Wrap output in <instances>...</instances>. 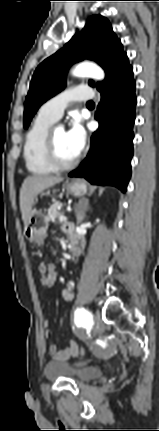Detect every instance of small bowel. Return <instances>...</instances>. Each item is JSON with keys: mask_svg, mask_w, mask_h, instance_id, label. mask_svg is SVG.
Here are the masks:
<instances>
[{"mask_svg": "<svg viewBox=\"0 0 159 431\" xmlns=\"http://www.w3.org/2000/svg\"><path fill=\"white\" fill-rule=\"evenodd\" d=\"M71 230L70 226L66 227V231L69 232ZM48 266L47 263L41 262L39 265V273H40V283L44 287H51V284H49V277L48 276ZM53 276L57 278L58 276V269L56 267V270L53 272ZM62 299L64 302H69L73 298V284L69 283L67 287H65L62 292ZM42 326L45 330V335H49L48 327H49V321L47 319H44L42 321ZM48 353L55 361H65L68 360L71 357L77 356L79 352V346L75 341H70L68 346L62 350H58L57 347L54 344H51L47 348Z\"/></svg>", "mask_w": 159, "mask_h": 431, "instance_id": "c3829d8e", "label": "small bowel"}]
</instances>
